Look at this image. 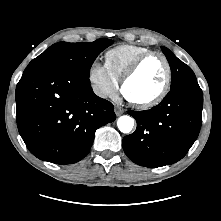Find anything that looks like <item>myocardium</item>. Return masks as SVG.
<instances>
[{
  "mask_svg": "<svg viewBox=\"0 0 221 221\" xmlns=\"http://www.w3.org/2000/svg\"><path fill=\"white\" fill-rule=\"evenodd\" d=\"M154 56L159 57L163 61L165 68H166L165 81L161 90L154 97L145 101H135V100L128 98L125 93V86L127 82L139 71V69L141 68V66L147 59L154 57ZM171 82H172V67L167 56L158 51H149V52L142 54L140 57H138L135 60V62L125 72V74L123 75L121 79V90H122L123 95L133 106L139 109H148V108L158 105L165 99V97L169 93Z\"/></svg>",
  "mask_w": 221,
  "mask_h": 221,
  "instance_id": "obj_1",
  "label": "myocardium"
}]
</instances>
